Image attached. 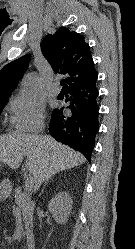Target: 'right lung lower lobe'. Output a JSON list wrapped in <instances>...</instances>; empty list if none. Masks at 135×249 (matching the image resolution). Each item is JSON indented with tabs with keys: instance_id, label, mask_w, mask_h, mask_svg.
I'll use <instances>...</instances> for the list:
<instances>
[{
	"instance_id": "1",
	"label": "right lung lower lobe",
	"mask_w": 135,
	"mask_h": 249,
	"mask_svg": "<svg viewBox=\"0 0 135 249\" xmlns=\"http://www.w3.org/2000/svg\"><path fill=\"white\" fill-rule=\"evenodd\" d=\"M97 73L67 89L70 96L67 108L71 114L64 116L62 109L53 111L49 131L57 140L82 153L90 161L99 131Z\"/></svg>"
}]
</instances>
